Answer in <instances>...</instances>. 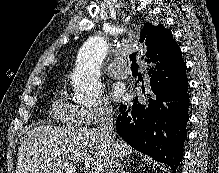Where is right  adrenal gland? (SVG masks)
Here are the masks:
<instances>
[{
    "label": "right adrenal gland",
    "instance_id": "obj_1",
    "mask_svg": "<svg viewBox=\"0 0 219 173\" xmlns=\"http://www.w3.org/2000/svg\"><path fill=\"white\" fill-rule=\"evenodd\" d=\"M123 168H124V166H122V167L120 168V173H128V172H125V171L123 170Z\"/></svg>",
    "mask_w": 219,
    "mask_h": 173
}]
</instances>
